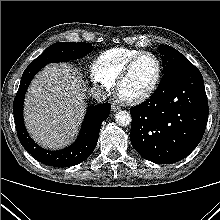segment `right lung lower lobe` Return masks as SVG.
<instances>
[{"label":"right lung lower lobe","instance_id":"right-lung-lower-lobe-1","mask_svg":"<svg viewBox=\"0 0 220 220\" xmlns=\"http://www.w3.org/2000/svg\"><path fill=\"white\" fill-rule=\"evenodd\" d=\"M43 67L28 66L24 71L13 103L17 135L22 146L41 163L54 167H69L86 160L98 142L101 123L110 113V104L103 103L87 109L81 132L75 143L59 151H49L38 146L29 136L23 121V104L27 88L34 75Z\"/></svg>","mask_w":220,"mask_h":220}]
</instances>
